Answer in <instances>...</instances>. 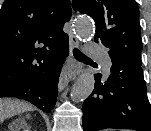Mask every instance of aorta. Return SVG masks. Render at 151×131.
Masks as SVG:
<instances>
[{
	"label": "aorta",
	"mask_w": 151,
	"mask_h": 131,
	"mask_svg": "<svg viewBox=\"0 0 151 131\" xmlns=\"http://www.w3.org/2000/svg\"><path fill=\"white\" fill-rule=\"evenodd\" d=\"M74 28L76 34L83 40L91 38L95 30L93 22L87 16L77 18ZM94 84L95 78L92 73L82 74L72 87L70 94L72 101H83L88 98L94 89Z\"/></svg>",
	"instance_id": "762f6f07"
}]
</instances>
